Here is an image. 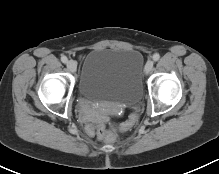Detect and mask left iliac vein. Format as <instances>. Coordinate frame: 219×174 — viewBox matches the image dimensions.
I'll list each match as a JSON object with an SVG mask.
<instances>
[{"label": "left iliac vein", "instance_id": "obj_1", "mask_svg": "<svg viewBox=\"0 0 219 174\" xmlns=\"http://www.w3.org/2000/svg\"><path fill=\"white\" fill-rule=\"evenodd\" d=\"M153 65H154V63L151 60L146 62L145 67H144L145 74H148V73H150L152 71Z\"/></svg>", "mask_w": 219, "mask_h": 174}]
</instances>
